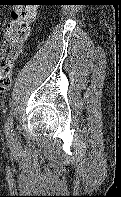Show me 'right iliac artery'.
I'll list each match as a JSON object with an SVG mask.
<instances>
[{"instance_id":"82829eb1","label":"right iliac artery","mask_w":121,"mask_h":197,"mask_svg":"<svg viewBox=\"0 0 121 197\" xmlns=\"http://www.w3.org/2000/svg\"><path fill=\"white\" fill-rule=\"evenodd\" d=\"M13 119L9 117L5 124V135L9 144L14 142V132H13Z\"/></svg>"}]
</instances>
